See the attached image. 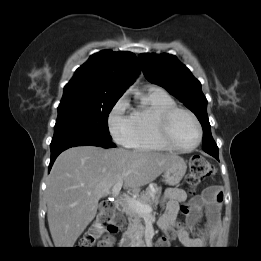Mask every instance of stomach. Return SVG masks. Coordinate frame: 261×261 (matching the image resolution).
Wrapping results in <instances>:
<instances>
[{"mask_svg":"<svg viewBox=\"0 0 261 261\" xmlns=\"http://www.w3.org/2000/svg\"><path fill=\"white\" fill-rule=\"evenodd\" d=\"M187 165L183 158L177 156L164 171L163 178L169 186L177 185L186 173Z\"/></svg>","mask_w":261,"mask_h":261,"instance_id":"stomach-1","label":"stomach"}]
</instances>
